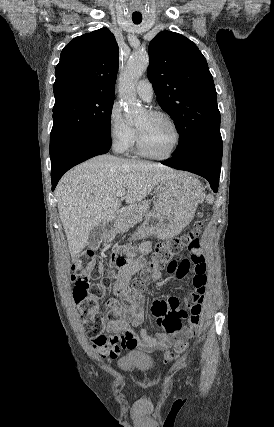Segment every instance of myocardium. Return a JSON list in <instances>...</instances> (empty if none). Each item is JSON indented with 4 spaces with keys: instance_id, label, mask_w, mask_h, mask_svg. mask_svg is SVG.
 Here are the masks:
<instances>
[{
    "instance_id": "obj_1",
    "label": "myocardium",
    "mask_w": 274,
    "mask_h": 427,
    "mask_svg": "<svg viewBox=\"0 0 274 427\" xmlns=\"http://www.w3.org/2000/svg\"><path fill=\"white\" fill-rule=\"evenodd\" d=\"M147 113L151 117L163 118L169 122V124L171 125L172 130L174 132V137H175L174 144H173L172 148L170 149V151L168 153H166L165 155L159 156V155L150 154L144 150L140 135H139L138 131L135 129L136 151L141 157L146 158V159L159 160V161L167 160V159L171 158L176 153L177 149L179 148V145L181 142V133H180L179 127H178L176 121L174 120V118L166 112L153 110V111H149Z\"/></svg>"
}]
</instances>
